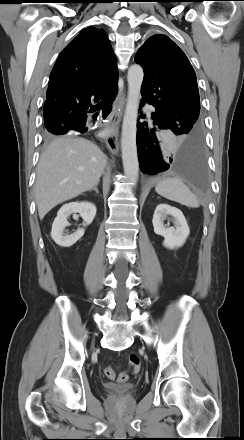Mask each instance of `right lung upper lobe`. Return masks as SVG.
Listing matches in <instances>:
<instances>
[{
  "instance_id": "1",
  "label": "right lung upper lobe",
  "mask_w": 244,
  "mask_h": 440,
  "mask_svg": "<svg viewBox=\"0 0 244 440\" xmlns=\"http://www.w3.org/2000/svg\"><path fill=\"white\" fill-rule=\"evenodd\" d=\"M118 72L108 36L93 26L82 30L59 54L51 71L45 127L60 120L86 117L92 102L117 95Z\"/></svg>"
}]
</instances>
